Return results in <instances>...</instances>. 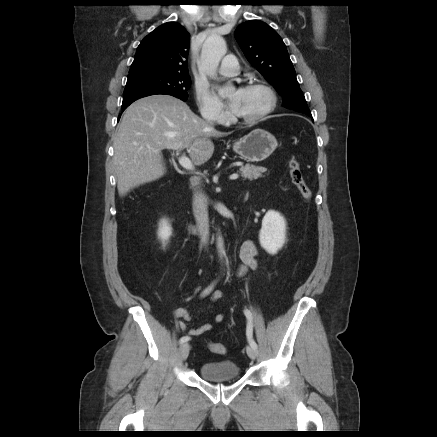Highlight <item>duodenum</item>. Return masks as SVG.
Returning <instances> with one entry per match:
<instances>
[{
	"mask_svg": "<svg viewBox=\"0 0 437 437\" xmlns=\"http://www.w3.org/2000/svg\"><path fill=\"white\" fill-rule=\"evenodd\" d=\"M192 229L195 231V230H196V227H195V226H192Z\"/></svg>",
	"mask_w": 437,
	"mask_h": 437,
	"instance_id": "1",
	"label": "duodenum"
}]
</instances>
